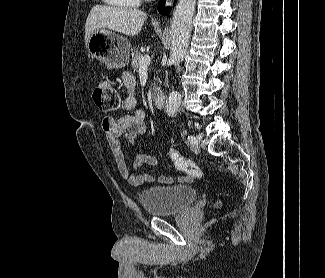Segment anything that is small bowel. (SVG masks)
Here are the masks:
<instances>
[{
    "label": "small bowel",
    "instance_id": "obj_1",
    "mask_svg": "<svg viewBox=\"0 0 325 278\" xmlns=\"http://www.w3.org/2000/svg\"><path fill=\"white\" fill-rule=\"evenodd\" d=\"M122 82L127 89V96L123 103V109L131 112L118 119L105 117L102 120V128L106 140L113 150L121 176L133 186H142L151 183L155 177L151 174H142L140 169L143 167L157 166L159 160L152 155L143 154L136 146V139L144 134L146 130V113L142 109H136L135 81L131 74L123 73ZM123 141L130 144L134 153L133 168L129 169L122 152ZM184 180V177L182 178ZM158 181L163 184L172 183L170 176L161 175Z\"/></svg>",
    "mask_w": 325,
    "mask_h": 278
}]
</instances>
